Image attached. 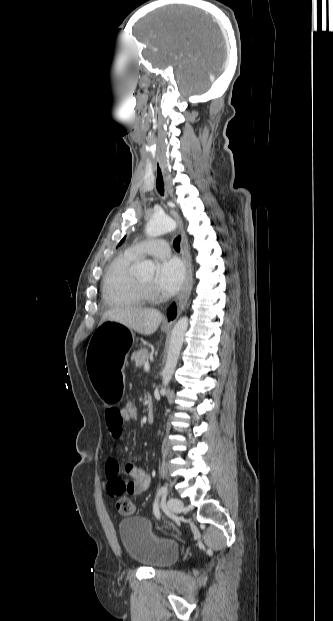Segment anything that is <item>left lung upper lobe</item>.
<instances>
[{"label":"left lung upper lobe","instance_id":"obj_1","mask_svg":"<svg viewBox=\"0 0 333 621\" xmlns=\"http://www.w3.org/2000/svg\"><path fill=\"white\" fill-rule=\"evenodd\" d=\"M124 240H125V237H124V238L120 241V243L118 244V246H119V245H121V244L123 243V241H124Z\"/></svg>","mask_w":333,"mask_h":621}]
</instances>
